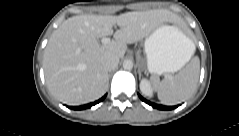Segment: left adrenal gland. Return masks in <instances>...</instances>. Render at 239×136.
Instances as JSON below:
<instances>
[{"label": "left adrenal gland", "instance_id": "obj_1", "mask_svg": "<svg viewBox=\"0 0 239 136\" xmlns=\"http://www.w3.org/2000/svg\"><path fill=\"white\" fill-rule=\"evenodd\" d=\"M141 71H142V69L139 67V69H138L139 79L141 78Z\"/></svg>", "mask_w": 239, "mask_h": 136}]
</instances>
